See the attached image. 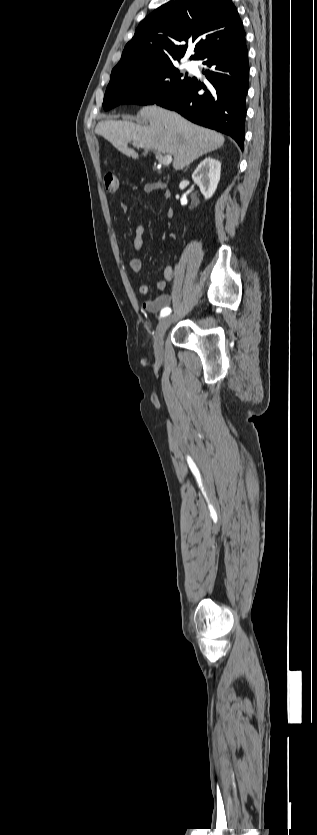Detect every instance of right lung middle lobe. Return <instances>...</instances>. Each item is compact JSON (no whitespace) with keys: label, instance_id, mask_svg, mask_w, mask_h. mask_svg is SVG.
<instances>
[{"label":"right lung middle lobe","instance_id":"dd1d6c3e","mask_svg":"<svg viewBox=\"0 0 317 835\" xmlns=\"http://www.w3.org/2000/svg\"><path fill=\"white\" fill-rule=\"evenodd\" d=\"M191 80L173 64L155 66L142 71H112L104 96L105 110L120 104H154L186 85Z\"/></svg>","mask_w":317,"mask_h":835}]
</instances>
